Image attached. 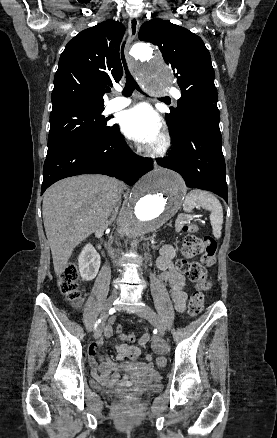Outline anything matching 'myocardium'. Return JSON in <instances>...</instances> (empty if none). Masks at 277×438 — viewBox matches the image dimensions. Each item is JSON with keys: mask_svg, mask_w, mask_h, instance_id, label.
Instances as JSON below:
<instances>
[{"mask_svg": "<svg viewBox=\"0 0 277 438\" xmlns=\"http://www.w3.org/2000/svg\"><path fill=\"white\" fill-rule=\"evenodd\" d=\"M130 50V47L128 48ZM170 146V139L166 134L160 137L159 144L156 148H153L150 153L155 156L163 155Z\"/></svg>", "mask_w": 277, "mask_h": 438, "instance_id": "f54148a6", "label": "myocardium"}]
</instances>
